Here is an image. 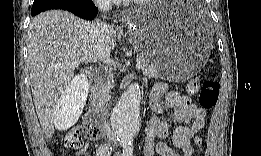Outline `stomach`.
Returning <instances> with one entry per match:
<instances>
[{"label":"stomach","instance_id":"1","mask_svg":"<svg viewBox=\"0 0 261 156\" xmlns=\"http://www.w3.org/2000/svg\"><path fill=\"white\" fill-rule=\"evenodd\" d=\"M127 25L135 47L166 80L190 79L209 57L210 29L193 21L182 2L147 3L130 12Z\"/></svg>","mask_w":261,"mask_h":156}]
</instances>
